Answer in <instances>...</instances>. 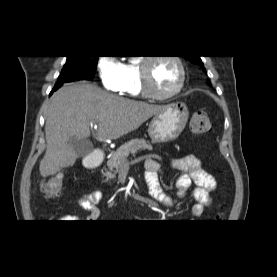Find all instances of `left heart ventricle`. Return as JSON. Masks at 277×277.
<instances>
[{"label": "left heart ventricle", "instance_id": "1", "mask_svg": "<svg viewBox=\"0 0 277 277\" xmlns=\"http://www.w3.org/2000/svg\"><path fill=\"white\" fill-rule=\"evenodd\" d=\"M179 70L175 63L167 59H160L151 67V85L159 94L171 92L178 84Z\"/></svg>", "mask_w": 277, "mask_h": 277}]
</instances>
